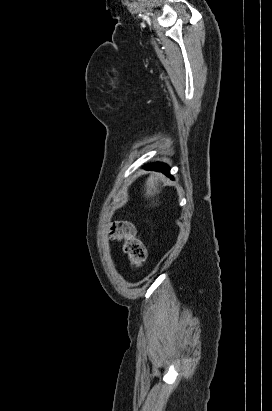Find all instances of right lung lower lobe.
<instances>
[{
    "label": "right lung lower lobe",
    "instance_id": "98d812e1",
    "mask_svg": "<svg viewBox=\"0 0 272 411\" xmlns=\"http://www.w3.org/2000/svg\"><path fill=\"white\" fill-rule=\"evenodd\" d=\"M147 168L152 169V170L161 171L164 174L170 176L169 174L170 168L166 164L157 163V164L149 165Z\"/></svg>",
    "mask_w": 272,
    "mask_h": 411
}]
</instances>
